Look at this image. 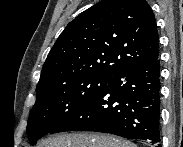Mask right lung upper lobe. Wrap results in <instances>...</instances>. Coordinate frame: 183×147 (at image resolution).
Here are the masks:
<instances>
[{"label":"right lung upper lobe","instance_id":"cb5924a9","mask_svg":"<svg viewBox=\"0 0 183 147\" xmlns=\"http://www.w3.org/2000/svg\"><path fill=\"white\" fill-rule=\"evenodd\" d=\"M159 38L145 0H102L61 33L41 71L37 90L84 77L111 78L158 59Z\"/></svg>","mask_w":183,"mask_h":147}]
</instances>
